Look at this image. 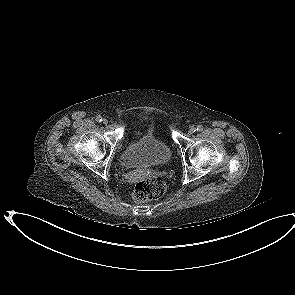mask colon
I'll list each match as a JSON object with an SVG mask.
<instances>
[{
  "mask_svg": "<svg viewBox=\"0 0 295 295\" xmlns=\"http://www.w3.org/2000/svg\"><path fill=\"white\" fill-rule=\"evenodd\" d=\"M166 191V184L161 177L153 176L139 182L133 192V198L137 202H146L159 199Z\"/></svg>",
  "mask_w": 295,
  "mask_h": 295,
  "instance_id": "5ec220e1",
  "label": "colon"
}]
</instances>
